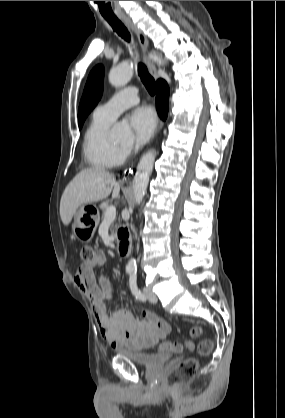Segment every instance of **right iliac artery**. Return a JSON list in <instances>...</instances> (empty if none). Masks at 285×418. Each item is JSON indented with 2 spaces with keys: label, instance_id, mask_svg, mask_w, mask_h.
I'll return each instance as SVG.
<instances>
[{
  "label": "right iliac artery",
  "instance_id": "obj_1",
  "mask_svg": "<svg viewBox=\"0 0 285 418\" xmlns=\"http://www.w3.org/2000/svg\"><path fill=\"white\" fill-rule=\"evenodd\" d=\"M135 270H133V269H128L127 270V272L129 273V274H131V273H133Z\"/></svg>",
  "mask_w": 285,
  "mask_h": 418
}]
</instances>
